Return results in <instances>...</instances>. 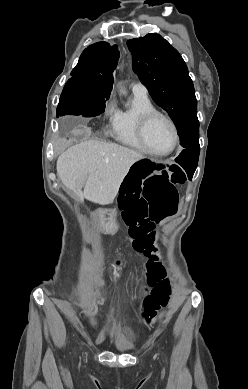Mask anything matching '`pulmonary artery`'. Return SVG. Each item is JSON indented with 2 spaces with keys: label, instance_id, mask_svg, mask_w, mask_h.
I'll return each mask as SVG.
<instances>
[{
  "label": "pulmonary artery",
  "instance_id": "1",
  "mask_svg": "<svg viewBox=\"0 0 248 389\" xmlns=\"http://www.w3.org/2000/svg\"><path fill=\"white\" fill-rule=\"evenodd\" d=\"M132 92L136 95L148 97L147 88L139 82H135L132 84Z\"/></svg>",
  "mask_w": 248,
  "mask_h": 389
}]
</instances>
